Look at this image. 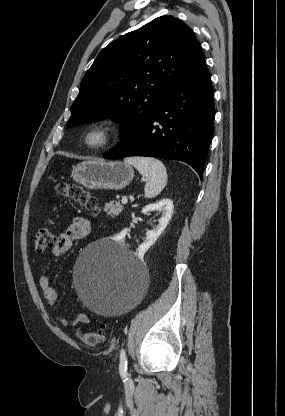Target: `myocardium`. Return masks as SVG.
Here are the masks:
<instances>
[{
	"label": "myocardium",
	"mask_w": 285,
	"mask_h": 416,
	"mask_svg": "<svg viewBox=\"0 0 285 416\" xmlns=\"http://www.w3.org/2000/svg\"><path fill=\"white\" fill-rule=\"evenodd\" d=\"M95 142H91L92 138ZM116 137L114 127L106 121H97L89 124L82 132L80 142L89 152H97L109 147Z\"/></svg>",
	"instance_id": "f54148a6"
}]
</instances>
